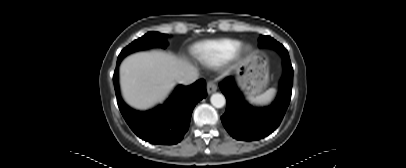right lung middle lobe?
<instances>
[{
	"instance_id": "right-lung-middle-lobe-1",
	"label": "right lung middle lobe",
	"mask_w": 406,
	"mask_h": 168,
	"mask_svg": "<svg viewBox=\"0 0 406 168\" xmlns=\"http://www.w3.org/2000/svg\"><path fill=\"white\" fill-rule=\"evenodd\" d=\"M166 37V34H161L159 32H148L124 48L119 54L117 61H120L128 54L139 50H147L154 47L166 48L168 45Z\"/></svg>"
}]
</instances>
